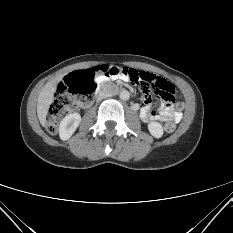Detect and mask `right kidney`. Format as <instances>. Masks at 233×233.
I'll return each instance as SVG.
<instances>
[{
    "mask_svg": "<svg viewBox=\"0 0 233 233\" xmlns=\"http://www.w3.org/2000/svg\"><path fill=\"white\" fill-rule=\"evenodd\" d=\"M81 121V115L79 113H72L63 118L59 125V135L62 140H68Z\"/></svg>",
    "mask_w": 233,
    "mask_h": 233,
    "instance_id": "1",
    "label": "right kidney"
}]
</instances>
